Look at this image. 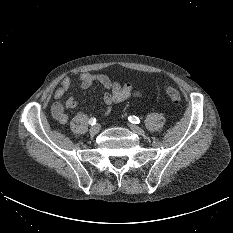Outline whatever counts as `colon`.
Instances as JSON below:
<instances>
[{"label":"colon","mask_w":233,"mask_h":233,"mask_svg":"<svg viewBox=\"0 0 233 233\" xmlns=\"http://www.w3.org/2000/svg\"><path fill=\"white\" fill-rule=\"evenodd\" d=\"M167 95L169 96V98L174 101L175 103H180L182 100L181 94L180 92L173 88V87H167L165 89Z\"/></svg>","instance_id":"obj_1"}]
</instances>
